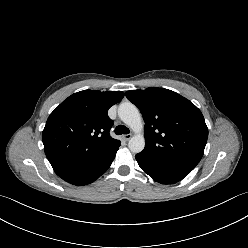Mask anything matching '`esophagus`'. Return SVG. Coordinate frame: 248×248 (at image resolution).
I'll use <instances>...</instances> for the list:
<instances>
[{
    "label": "esophagus",
    "instance_id": "1",
    "mask_svg": "<svg viewBox=\"0 0 248 248\" xmlns=\"http://www.w3.org/2000/svg\"><path fill=\"white\" fill-rule=\"evenodd\" d=\"M131 137H132L131 134H126V135L123 136V139H124L125 141H128V140L131 139Z\"/></svg>",
    "mask_w": 248,
    "mask_h": 248
}]
</instances>
